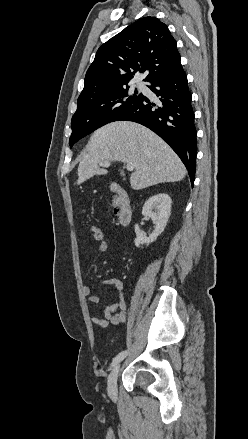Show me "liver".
<instances>
[{
	"label": "liver",
	"mask_w": 248,
	"mask_h": 439,
	"mask_svg": "<svg viewBox=\"0 0 248 439\" xmlns=\"http://www.w3.org/2000/svg\"><path fill=\"white\" fill-rule=\"evenodd\" d=\"M134 164L130 185L134 190L181 181L186 169L176 153L148 128L129 121H116L96 130L78 166L77 185L95 175H105L103 162Z\"/></svg>",
	"instance_id": "1"
}]
</instances>
